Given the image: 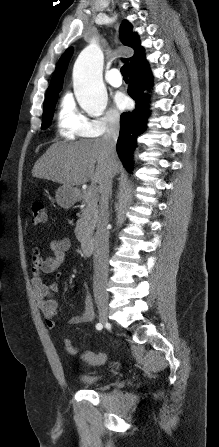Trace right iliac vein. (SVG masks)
I'll return each instance as SVG.
<instances>
[{
	"instance_id": "63e3f726",
	"label": "right iliac vein",
	"mask_w": 219,
	"mask_h": 447,
	"mask_svg": "<svg viewBox=\"0 0 219 447\" xmlns=\"http://www.w3.org/2000/svg\"><path fill=\"white\" fill-rule=\"evenodd\" d=\"M99 321L102 324H105L108 321V310L105 306L99 308Z\"/></svg>"
}]
</instances>
